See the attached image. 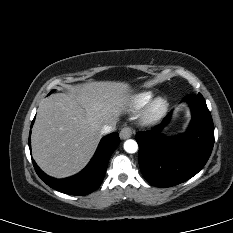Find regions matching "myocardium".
Returning a JSON list of instances; mask_svg holds the SVG:
<instances>
[{
  "mask_svg": "<svg viewBox=\"0 0 233 233\" xmlns=\"http://www.w3.org/2000/svg\"><path fill=\"white\" fill-rule=\"evenodd\" d=\"M168 102L163 97L152 99L142 113V120L145 123H154L159 120L167 111Z\"/></svg>",
  "mask_w": 233,
  "mask_h": 233,
  "instance_id": "f54148a6",
  "label": "myocardium"
}]
</instances>
